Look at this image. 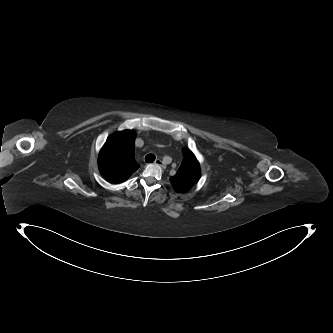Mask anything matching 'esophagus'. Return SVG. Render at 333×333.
<instances>
[{
	"instance_id": "esophagus-1",
	"label": "esophagus",
	"mask_w": 333,
	"mask_h": 333,
	"mask_svg": "<svg viewBox=\"0 0 333 333\" xmlns=\"http://www.w3.org/2000/svg\"><path fill=\"white\" fill-rule=\"evenodd\" d=\"M154 163L162 167L164 166L163 161L160 158H157Z\"/></svg>"
}]
</instances>
